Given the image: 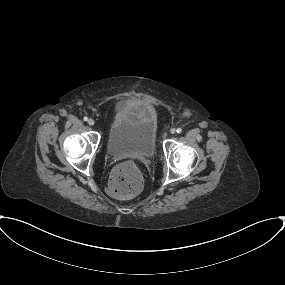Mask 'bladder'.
I'll list each match as a JSON object with an SVG mask.
<instances>
[{
  "label": "bladder",
  "mask_w": 285,
  "mask_h": 285,
  "mask_svg": "<svg viewBox=\"0 0 285 285\" xmlns=\"http://www.w3.org/2000/svg\"><path fill=\"white\" fill-rule=\"evenodd\" d=\"M106 149L113 156H154L156 128L143 104H128L117 110L107 133Z\"/></svg>",
  "instance_id": "1"
}]
</instances>
